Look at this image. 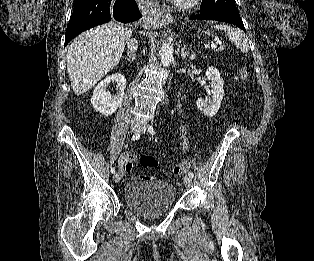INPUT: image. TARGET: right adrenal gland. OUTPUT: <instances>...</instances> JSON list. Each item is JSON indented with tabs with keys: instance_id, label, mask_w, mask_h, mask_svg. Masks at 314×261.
<instances>
[{
	"instance_id": "1",
	"label": "right adrenal gland",
	"mask_w": 314,
	"mask_h": 261,
	"mask_svg": "<svg viewBox=\"0 0 314 261\" xmlns=\"http://www.w3.org/2000/svg\"><path fill=\"white\" fill-rule=\"evenodd\" d=\"M134 59H135V54H128L127 60H128L129 62L134 61Z\"/></svg>"
}]
</instances>
